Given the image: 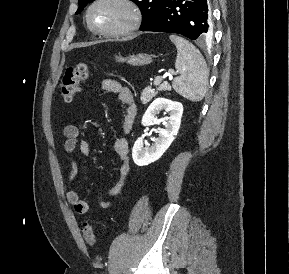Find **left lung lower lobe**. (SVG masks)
Segmentation results:
<instances>
[{"label":"left lung lower lobe","instance_id":"left-lung-lower-lobe-1","mask_svg":"<svg viewBox=\"0 0 289 274\" xmlns=\"http://www.w3.org/2000/svg\"><path fill=\"white\" fill-rule=\"evenodd\" d=\"M141 31L177 33L203 41L212 35L207 0H165L157 15Z\"/></svg>","mask_w":289,"mask_h":274}]
</instances>
